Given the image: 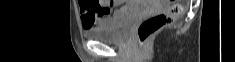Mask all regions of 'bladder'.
Wrapping results in <instances>:
<instances>
[{
	"instance_id": "1",
	"label": "bladder",
	"mask_w": 235,
	"mask_h": 62,
	"mask_svg": "<svg viewBox=\"0 0 235 62\" xmlns=\"http://www.w3.org/2000/svg\"><path fill=\"white\" fill-rule=\"evenodd\" d=\"M138 16L139 7L133 3L129 4L101 26L88 30L86 37L104 43H121L126 39Z\"/></svg>"
}]
</instances>
